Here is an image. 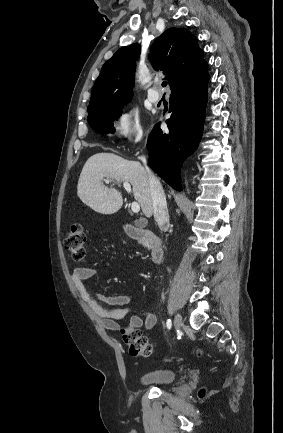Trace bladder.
<instances>
[{
    "instance_id": "31cf9c89",
    "label": "bladder",
    "mask_w": 283,
    "mask_h": 433,
    "mask_svg": "<svg viewBox=\"0 0 283 433\" xmlns=\"http://www.w3.org/2000/svg\"><path fill=\"white\" fill-rule=\"evenodd\" d=\"M176 377V371L173 369H164L156 373H149L142 379L144 384L167 385L171 384Z\"/></svg>"
}]
</instances>
